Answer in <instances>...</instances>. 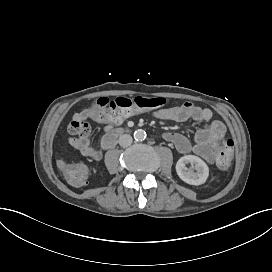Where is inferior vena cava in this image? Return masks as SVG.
Instances as JSON below:
<instances>
[{"mask_svg": "<svg viewBox=\"0 0 272 272\" xmlns=\"http://www.w3.org/2000/svg\"><path fill=\"white\" fill-rule=\"evenodd\" d=\"M132 136L129 135V134H122L120 137H119V145L122 146V147H128L132 144Z\"/></svg>", "mask_w": 272, "mask_h": 272, "instance_id": "1", "label": "inferior vena cava"}]
</instances>
